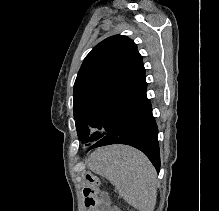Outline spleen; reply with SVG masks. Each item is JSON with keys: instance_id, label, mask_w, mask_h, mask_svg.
<instances>
[{"instance_id": "spleen-1", "label": "spleen", "mask_w": 219, "mask_h": 211, "mask_svg": "<svg viewBox=\"0 0 219 211\" xmlns=\"http://www.w3.org/2000/svg\"><path fill=\"white\" fill-rule=\"evenodd\" d=\"M88 167L115 185L119 195L139 211H154L156 169L145 153L131 145H104L92 151Z\"/></svg>"}]
</instances>
